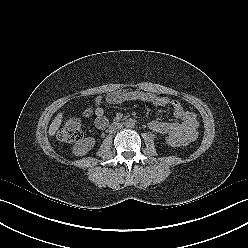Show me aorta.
<instances>
[{
    "label": "aorta",
    "instance_id": "762f6f07",
    "mask_svg": "<svg viewBox=\"0 0 248 248\" xmlns=\"http://www.w3.org/2000/svg\"><path fill=\"white\" fill-rule=\"evenodd\" d=\"M135 124H136V121L134 119H131V118L127 119L124 123L126 128H134Z\"/></svg>",
    "mask_w": 248,
    "mask_h": 248
}]
</instances>
